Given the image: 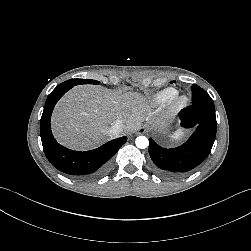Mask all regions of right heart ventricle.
I'll return each instance as SVG.
<instances>
[{
  "label": "right heart ventricle",
  "instance_id": "1",
  "mask_svg": "<svg viewBox=\"0 0 251 251\" xmlns=\"http://www.w3.org/2000/svg\"><path fill=\"white\" fill-rule=\"evenodd\" d=\"M174 94V88H167L155 95L154 103L157 105H163L167 103L173 97Z\"/></svg>",
  "mask_w": 251,
  "mask_h": 251
}]
</instances>
